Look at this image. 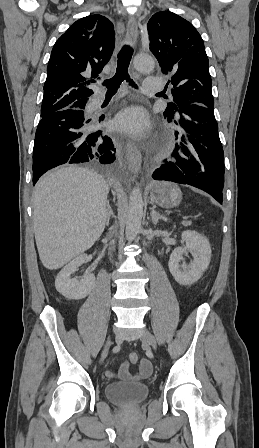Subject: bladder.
<instances>
[{"label": "bladder", "mask_w": 259, "mask_h": 448, "mask_svg": "<svg viewBox=\"0 0 259 448\" xmlns=\"http://www.w3.org/2000/svg\"><path fill=\"white\" fill-rule=\"evenodd\" d=\"M149 394L145 383H110L105 386V396L119 406H135L142 403Z\"/></svg>", "instance_id": "bladder-1"}]
</instances>
